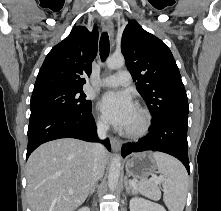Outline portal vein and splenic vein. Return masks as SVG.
I'll return each instance as SVG.
<instances>
[{"instance_id": "obj_1", "label": "portal vein and splenic vein", "mask_w": 221, "mask_h": 211, "mask_svg": "<svg viewBox=\"0 0 221 211\" xmlns=\"http://www.w3.org/2000/svg\"><path fill=\"white\" fill-rule=\"evenodd\" d=\"M161 179H162V176H159V177H155L153 180L158 184ZM129 183L133 188H137V183L134 180H129Z\"/></svg>"}]
</instances>
